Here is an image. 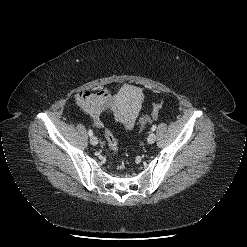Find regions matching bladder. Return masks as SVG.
Wrapping results in <instances>:
<instances>
[{
    "instance_id": "bladder-1",
    "label": "bladder",
    "mask_w": 247,
    "mask_h": 247,
    "mask_svg": "<svg viewBox=\"0 0 247 247\" xmlns=\"http://www.w3.org/2000/svg\"><path fill=\"white\" fill-rule=\"evenodd\" d=\"M128 90H130V91H136V89L134 88V87H128L127 88ZM120 121L122 122V123H127L128 121H129V118H127V117H121L120 118Z\"/></svg>"
}]
</instances>
